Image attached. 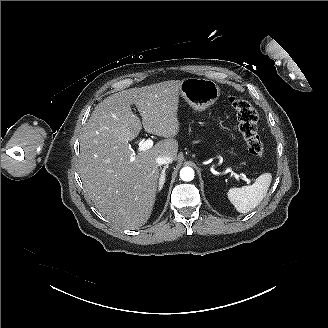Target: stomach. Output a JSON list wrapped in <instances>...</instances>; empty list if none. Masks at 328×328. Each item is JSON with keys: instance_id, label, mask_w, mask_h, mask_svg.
I'll return each mask as SVG.
<instances>
[{"instance_id": "obj_1", "label": "stomach", "mask_w": 328, "mask_h": 328, "mask_svg": "<svg viewBox=\"0 0 328 328\" xmlns=\"http://www.w3.org/2000/svg\"><path fill=\"white\" fill-rule=\"evenodd\" d=\"M181 93L194 111L203 112L217 102L220 97V88L212 80L190 78L182 82ZM224 153V150L218 149L213 154L222 160Z\"/></svg>"}]
</instances>
